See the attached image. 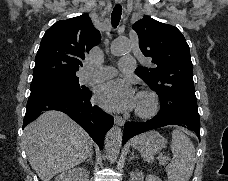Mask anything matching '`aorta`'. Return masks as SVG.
I'll list each match as a JSON object with an SVG mask.
<instances>
[{
  "mask_svg": "<svg viewBox=\"0 0 228 181\" xmlns=\"http://www.w3.org/2000/svg\"><path fill=\"white\" fill-rule=\"evenodd\" d=\"M130 49V42L126 38H118L111 46L113 55H123ZM122 145V130L119 127H112L105 138V149L107 157L112 161L117 158Z\"/></svg>",
  "mask_w": 228,
  "mask_h": 181,
  "instance_id": "obj_1",
  "label": "aorta"
}]
</instances>
